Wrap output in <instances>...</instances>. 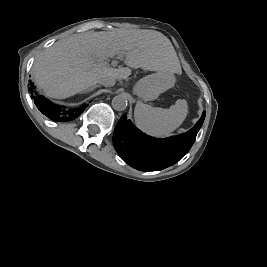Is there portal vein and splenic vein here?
Returning a JSON list of instances; mask_svg holds the SVG:
<instances>
[{
	"label": "portal vein and splenic vein",
	"mask_w": 267,
	"mask_h": 267,
	"mask_svg": "<svg viewBox=\"0 0 267 267\" xmlns=\"http://www.w3.org/2000/svg\"><path fill=\"white\" fill-rule=\"evenodd\" d=\"M117 59H122V54H119ZM105 64H107V62H104ZM113 66H116L117 65V61H112L111 63Z\"/></svg>",
	"instance_id": "portal-vein-and-splenic-vein-1"
}]
</instances>
